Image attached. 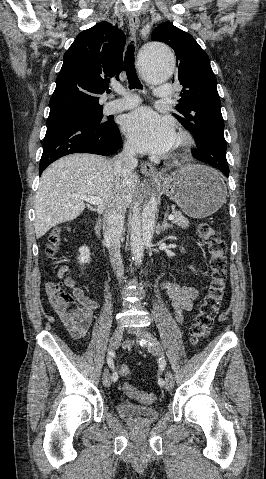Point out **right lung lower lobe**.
Returning a JSON list of instances; mask_svg holds the SVG:
<instances>
[{"label": "right lung lower lobe", "mask_w": 266, "mask_h": 479, "mask_svg": "<svg viewBox=\"0 0 266 479\" xmlns=\"http://www.w3.org/2000/svg\"><path fill=\"white\" fill-rule=\"evenodd\" d=\"M42 146L40 175L48 165L68 154L111 155L121 147V135L114 121L96 125L75 117L53 115L47 119Z\"/></svg>", "instance_id": "98d812e1"}]
</instances>
